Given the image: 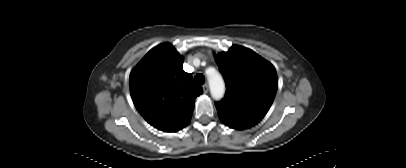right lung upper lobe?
<instances>
[{"label": "right lung upper lobe", "instance_id": "1", "mask_svg": "<svg viewBox=\"0 0 406 168\" xmlns=\"http://www.w3.org/2000/svg\"><path fill=\"white\" fill-rule=\"evenodd\" d=\"M183 57L169 43L150 50L130 74L133 103L153 127L176 132L192 116L201 86L182 69Z\"/></svg>", "mask_w": 406, "mask_h": 168}]
</instances>
